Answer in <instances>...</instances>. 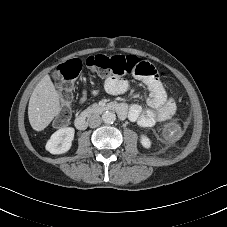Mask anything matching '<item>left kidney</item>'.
<instances>
[{
    "instance_id": "obj_1",
    "label": "left kidney",
    "mask_w": 227,
    "mask_h": 227,
    "mask_svg": "<svg viewBox=\"0 0 227 227\" xmlns=\"http://www.w3.org/2000/svg\"><path fill=\"white\" fill-rule=\"evenodd\" d=\"M140 142H141V144H142V146L144 147V148H150L151 147V141H150V139L147 137V136H145V135H141L140 136Z\"/></svg>"
}]
</instances>
